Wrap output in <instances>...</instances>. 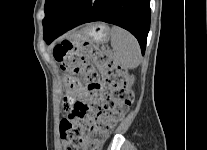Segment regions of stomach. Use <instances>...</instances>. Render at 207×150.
<instances>
[{"label": "stomach", "instance_id": "obj_1", "mask_svg": "<svg viewBox=\"0 0 207 150\" xmlns=\"http://www.w3.org/2000/svg\"><path fill=\"white\" fill-rule=\"evenodd\" d=\"M78 35L82 38H90L94 42H103L108 35V27L102 23H93L84 28Z\"/></svg>", "mask_w": 207, "mask_h": 150}]
</instances>
